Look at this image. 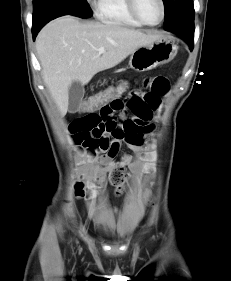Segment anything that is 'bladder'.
Segmentation results:
<instances>
[{"label": "bladder", "instance_id": "obj_1", "mask_svg": "<svg viewBox=\"0 0 231 281\" xmlns=\"http://www.w3.org/2000/svg\"><path fill=\"white\" fill-rule=\"evenodd\" d=\"M120 217V211L116 208L103 211L98 217L95 228L96 230L107 237L119 238L123 235V232L112 223V219Z\"/></svg>", "mask_w": 231, "mask_h": 281}]
</instances>
